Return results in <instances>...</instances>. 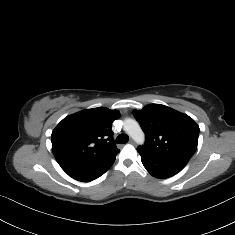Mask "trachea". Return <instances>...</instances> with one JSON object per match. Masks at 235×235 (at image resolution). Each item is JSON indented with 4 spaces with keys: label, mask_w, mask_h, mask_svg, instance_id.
<instances>
[{
    "label": "trachea",
    "mask_w": 235,
    "mask_h": 235,
    "mask_svg": "<svg viewBox=\"0 0 235 235\" xmlns=\"http://www.w3.org/2000/svg\"><path fill=\"white\" fill-rule=\"evenodd\" d=\"M128 141H129V137L126 134H120L116 139V142L119 144H125Z\"/></svg>",
    "instance_id": "trachea-1"
}]
</instances>
